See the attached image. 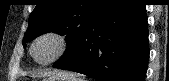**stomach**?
<instances>
[{
  "instance_id": "1",
  "label": "stomach",
  "mask_w": 169,
  "mask_h": 81,
  "mask_svg": "<svg viewBox=\"0 0 169 81\" xmlns=\"http://www.w3.org/2000/svg\"><path fill=\"white\" fill-rule=\"evenodd\" d=\"M43 81H71L67 77L51 75L43 78Z\"/></svg>"
}]
</instances>
